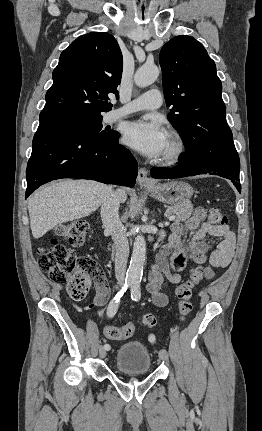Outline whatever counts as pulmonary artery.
Masks as SVG:
<instances>
[{
	"instance_id": "obj_1",
	"label": "pulmonary artery",
	"mask_w": 262,
	"mask_h": 431,
	"mask_svg": "<svg viewBox=\"0 0 262 431\" xmlns=\"http://www.w3.org/2000/svg\"><path fill=\"white\" fill-rule=\"evenodd\" d=\"M162 105V96L157 89H152L140 95L136 99L126 103L121 108L109 114V121H115L130 114L143 110H154Z\"/></svg>"
}]
</instances>
